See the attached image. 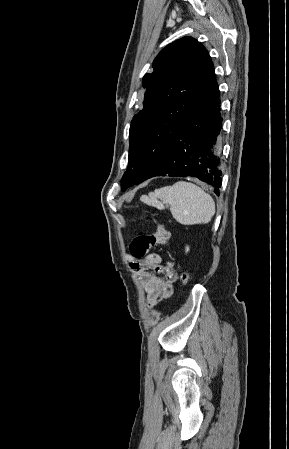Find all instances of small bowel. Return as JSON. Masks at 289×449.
Wrapping results in <instances>:
<instances>
[{"mask_svg": "<svg viewBox=\"0 0 289 449\" xmlns=\"http://www.w3.org/2000/svg\"><path fill=\"white\" fill-rule=\"evenodd\" d=\"M127 259L132 270L142 281L147 303L150 307L172 295L173 283L178 276L171 263L162 265L159 254H150L145 258H135L128 254Z\"/></svg>", "mask_w": 289, "mask_h": 449, "instance_id": "c3829d8e", "label": "small bowel"}]
</instances>
